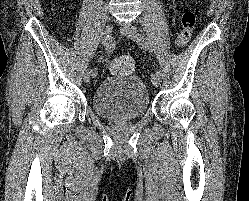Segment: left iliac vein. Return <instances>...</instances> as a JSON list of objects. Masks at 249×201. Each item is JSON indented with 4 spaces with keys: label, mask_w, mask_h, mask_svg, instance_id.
<instances>
[{
    "label": "left iliac vein",
    "mask_w": 249,
    "mask_h": 201,
    "mask_svg": "<svg viewBox=\"0 0 249 201\" xmlns=\"http://www.w3.org/2000/svg\"><path fill=\"white\" fill-rule=\"evenodd\" d=\"M122 33L129 38L130 40H133L135 42H138L137 38L140 35L139 32L137 31V29L133 26V25H125L122 27ZM151 81L152 84L156 87H158L160 85L161 82V76L158 75L157 73H153L151 75Z\"/></svg>",
    "instance_id": "4c4485c4"
}]
</instances>
